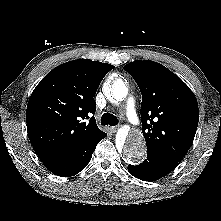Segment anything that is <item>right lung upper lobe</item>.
I'll return each instance as SVG.
<instances>
[{"mask_svg": "<svg viewBox=\"0 0 221 221\" xmlns=\"http://www.w3.org/2000/svg\"><path fill=\"white\" fill-rule=\"evenodd\" d=\"M113 65L78 59L51 70L34 89L26 112L30 142L48 162L103 134L90 117L94 96Z\"/></svg>", "mask_w": 221, "mask_h": 221, "instance_id": "1", "label": "right lung upper lobe"}]
</instances>
